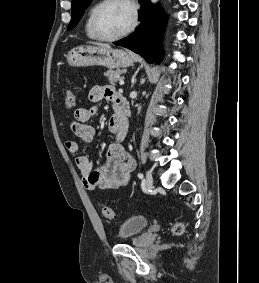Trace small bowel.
Instances as JSON below:
<instances>
[{
    "label": "small bowel",
    "instance_id": "c3829d8e",
    "mask_svg": "<svg viewBox=\"0 0 259 283\" xmlns=\"http://www.w3.org/2000/svg\"><path fill=\"white\" fill-rule=\"evenodd\" d=\"M91 107H80L74 112V120L70 124L73 134L84 143H89L94 136V128L88 122L96 114L98 106L103 101L111 103L116 109V101L119 94L112 86L96 85L89 92ZM108 129L113 135L114 142L109 145L106 152V163L95 166L87 156L79 155V145L75 141H67V152L76 156V166L83 178V185L88 190L108 189L120 190L127 186L130 174L135 167V159L123 147L127 126L117 123L116 114L108 122Z\"/></svg>",
    "mask_w": 259,
    "mask_h": 283
}]
</instances>
